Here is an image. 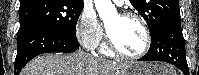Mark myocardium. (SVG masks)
Wrapping results in <instances>:
<instances>
[{
  "mask_svg": "<svg viewBox=\"0 0 199 75\" xmlns=\"http://www.w3.org/2000/svg\"><path fill=\"white\" fill-rule=\"evenodd\" d=\"M121 18L124 19H134L136 20L142 27L144 35H145V44H144V48L136 53V54H128L126 52H124L123 50H121L112 40V38L110 37L109 33H107V44L109 46V48L116 54L120 55L123 58H127V59H139L141 57H143L145 54L148 53L150 47H151V33L149 30V27L146 23V21L140 17L139 15L132 13V12H124L121 13L119 15Z\"/></svg>",
  "mask_w": 199,
  "mask_h": 75,
  "instance_id": "f54148a6",
  "label": "myocardium"
}]
</instances>
